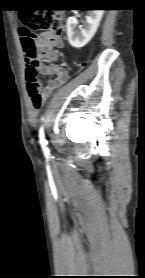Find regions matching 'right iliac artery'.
I'll use <instances>...</instances> for the list:
<instances>
[{
  "label": "right iliac artery",
  "instance_id": "right-iliac-artery-1",
  "mask_svg": "<svg viewBox=\"0 0 145 278\" xmlns=\"http://www.w3.org/2000/svg\"><path fill=\"white\" fill-rule=\"evenodd\" d=\"M39 139H40L39 142H40V144L42 146V149H43L44 153L47 154L48 153V148L46 147L47 141L45 139L44 131H43L42 127L39 129Z\"/></svg>",
  "mask_w": 145,
  "mask_h": 278
}]
</instances>
